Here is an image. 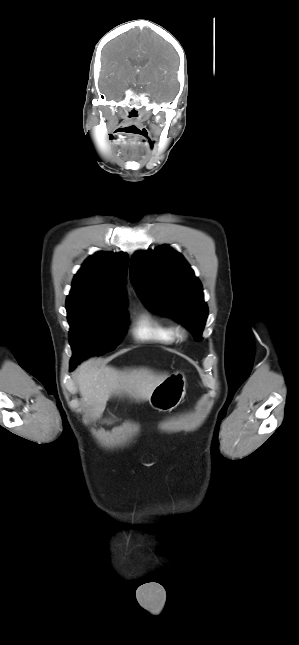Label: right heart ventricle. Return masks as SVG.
Masks as SVG:
<instances>
[{
	"label": "right heart ventricle",
	"mask_w": 299,
	"mask_h": 645,
	"mask_svg": "<svg viewBox=\"0 0 299 645\" xmlns=\"http://www.w3.org/2000/svg\"><path fill=\"white\" fill-rule=\"evenodd\" d=\"M132 335L137 341L170 344L174 342V328L162 321L148 309H142L135 317Z\"/></svg>",
	"instance_id": "1"
}]
</instances>
